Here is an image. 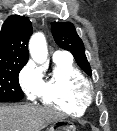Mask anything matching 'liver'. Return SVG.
<instances>
[{
    "mask_svg": "<svg viewBox=\"0 0 117 131\" xmlns=\"http://www.w3.org/2000/svg\"><path fill=\"white\" fill-rule=\"evenodd\" d=\"M60 119H64V115L49 107L0 106V131H41Z\"/></svg>",
    "mask_w": 117,
    "mask_h": 131,
    "instance_id": "1",
    "label": "liver"
}]
</instances>
